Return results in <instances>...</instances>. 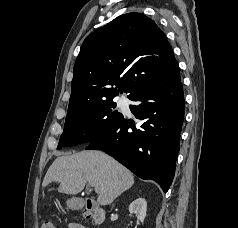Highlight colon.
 I'll use <instances>...</instances> for the list:
<instances>
[{
	"mask_svg": "<svg viewBox=\"0 0 238 228\" xmlns=\"http://www.w3.org/2000/svg\"><path fill=\"white\" fill-rule=\"evenodd\" d=\"M84 216L89 218V217H91V213L89 211H86V212H84ZM40 228H57V227L51 221H43L41 223Z\"/></svg>",
	"mask_w": 238,
	"mask_h": 228,
	"instance_id": "5ec220e1",
	"label": "colon"
}]
</instances>
